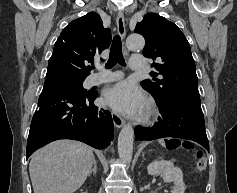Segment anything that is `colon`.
Returning a JSON list of instances; mask_svg holds the SVG:
<instances>
[{
  "label": "colon",
  "instance_id": "1",
  "mask_svg": "<svg viewBox=\"0 0 237 193\" xmlns=\"http://www.w3.org/2000/svg\"><path fill=\"white\" fill-rule=\"evenodd\" d=\"M164 144L168 148H180V147L185 148V149L192 148L190 143L180 142L179 140H176V139L165 140ZM196 167L199 171H204L207 167V159L201 152L196 153Z\"/></svg>",
  "mask_w": 237,
  "mask_h": 193
}]
</instances>
